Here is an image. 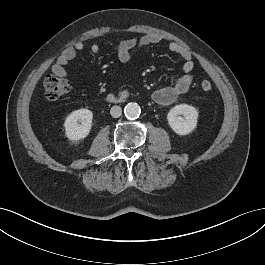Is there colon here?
<instances>
[{"label":"colon","mask_w":265,"mask_h":265,"mask_svg":"<svg viewBox=\"0 0 265 265\" xmlns=\"http://www.w3.org/2000/svg\"><path fill=\"white\" fill-rule=\"evenodd\" d=\"M44 97L46 100L54 101L68 92L69 85L62 78L56 75H48L44 79ZM199 87L204 92H210L213 89L212 83L207 79H202Z\"/></svg>","instance_id":"colon-1"}]
</instances>
